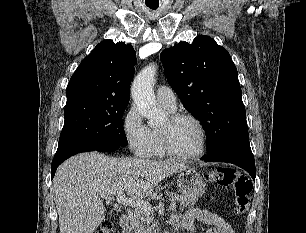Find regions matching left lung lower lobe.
Masks as SVG:
<instances>
[{
  "instance_id": "left-lung-lower-lobe-1",
  "label": "left lung lower lobe",
  "mask_w": 306,
  "mask_h": 233,
  "mask_svg": "<svg viewBox=\"0 0 306 233\" xmlns=\"http://www.w3.org/2000/svg\"><path fill=\"white\" fill-rule=\"evenodd\" d=\"M201 160L233 163L245 169L255 181V162L249 142L227 145Z\"/></svg>"
}]
</instances>
